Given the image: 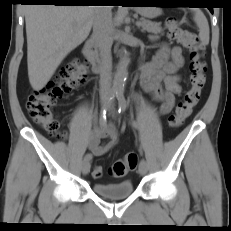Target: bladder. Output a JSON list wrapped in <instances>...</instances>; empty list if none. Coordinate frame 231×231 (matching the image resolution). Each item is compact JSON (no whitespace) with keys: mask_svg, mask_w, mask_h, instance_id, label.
<instances>
[{"mask_svg":"<svg viewBox=\"0 0 231 231\" xmlns=\"http://www.w3.org/2000/svg\"><path fill=\"white\" fill-rule=\"evenodd\" d=\"M93 191L104 198L122 199L130 196L133 192V183L131 180H123L116 183H100L93 184Z\"/></svg>","mask_w":231,"mask_h":231,"instance_id":"bladder-1","label":"bladder"}]
</instances>
